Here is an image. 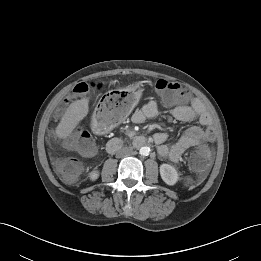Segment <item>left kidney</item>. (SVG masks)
Instances as JSON below:
<instances>
[{"mask_svg":"<svg viewBox=\"0 0 261 261\" xmlns=\"http://www.w3.org/2000/svg\"><path fill=\"white\" fill-rule=\"evenodd\" d=\"M160 175L162 180L170 186L175 185L179 180L177 170L170 164L160 165Z\"/></svg>","mask_w":261,"mask_h":261,"instance_id":"left-kidney-1","label":"left kidney"}]
</instances>
